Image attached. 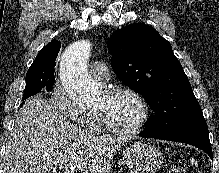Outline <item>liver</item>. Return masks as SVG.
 <instances>
[{
    "instance_id": "liver-1",
    "label": "liver",
    "mask_w": 219,
    "mask_h": 173,
    "mask_svg": "<svg viewBox=\"0 0 219 173\" xmlns=\"http://www.w3.org/2000/svg\"><path fill=\"white\" fill-rule=\"evenodd\" d=\"M125 138L99 135L67 122L53 104L35 96L17 114L6 144L5 173H52L73 168L107 173Z\"/></svg>"
}]
</instances>
